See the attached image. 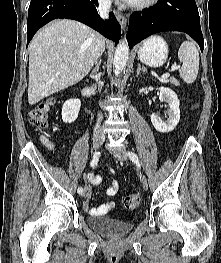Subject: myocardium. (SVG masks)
Wrapping results in <instances>:
<instances>
[{"mask_svg": "<svg viewBox=\"0 0 221 263\" xmlns=\"http://www.w3.org/2000/svg\"><path fill=\"white\" fill-rule=\"evenodd\" d=\"M158 0H135L131 6L137 10H144L154 6Z\"/></svg>", "mask_w": 221, "mask_h": 263, "instance_id": "1", "label": "myocardium"}]
</instances>
